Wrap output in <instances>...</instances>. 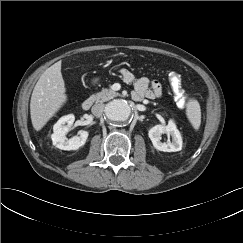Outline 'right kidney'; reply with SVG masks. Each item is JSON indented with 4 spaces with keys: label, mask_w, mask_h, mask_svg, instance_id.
Returning <instances> with one entry per match:
<instances>
[{
    "label": "right kidney",
    "mask_w": 243,
    "mask_h": 243,
    "mask_svg": "<svg viewBox=\"0 0 243 243\" xmlns=\"http://www.w3.org/2000/svg\"><path fill=\"white\" fill-rule=\"evenodd\" d=\"M74 121L75 116L73 114H69L61 117L53 126V134L51 135V139L53 145L58 149L77 150L86 143L89 134L85 130H80L77 136L66 140L65 135L73 125Z\"/></svg>",
    "instance_id": "ca27d5eb"
}]
</instances>
